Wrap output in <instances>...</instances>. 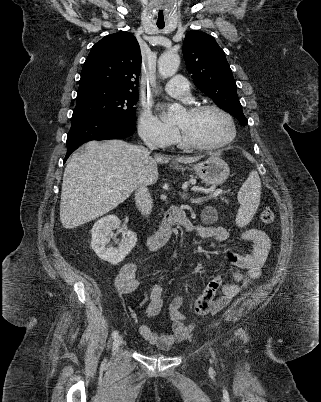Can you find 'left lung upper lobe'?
<instances>
[{
  "instance_id": "obj_1",
  "label": "left lung upper lobe",
  "mask_w": 321,
  "mask_h": 402,
  "mask_svg": "<svg viewBox=\"0 0 321 402\" xmlns=\"http://www.w3.org/2000/svg\"><path fill=\"white\" fill-rule=\"evenodd\" d=\"M183 56L195 85L219 108L231 113L241 123H247L232 71L216 40L198 30L189 31L184 39Z\"/></svg>"
}]
</instances>
